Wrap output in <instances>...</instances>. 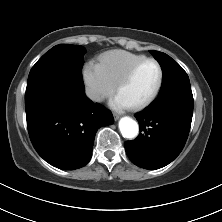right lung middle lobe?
Segmentation results:
<instances>
[{"label": "right lung middle lobe", "instance_id": "dd1d6c3e", "mask_svg": "<svg viewBox=\"0 0 222 222\" xmlns=\"http://www.w3.org/2000/svg\"><path fill=\"white\" fill-rule=\"evenodd\" d=\"M82 46L59 44L45 53L28 76L25 106L40 102L74 104L85 94Z\"/></svg>", "mask_w": 222, "mask_h": 222}]
</instances>
